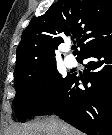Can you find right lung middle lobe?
Masks as SVG:
<instances>
[{
    "mask_svg": "<svg viewBox=\"0 0 112 135\" xmlns=\"http://www.w3.org/2000/svg\"><path fill=\"white\" fill-rule=\"evenodd\" d=\"M71 74L62 77L56 68V61L31 74L14 76L16 89L13 105L16 117L20 122L36 116L39 111L51 102L67 83ZM41 87L38 88V86Z\"/></svg>",
    "mask_w": 112,
    "mask_h": 135,
    "instance_id": "right-lung-middle-lobe-1",
    "label": "right lung middle lobe"
}]
</instances>
